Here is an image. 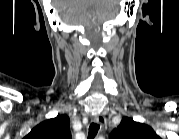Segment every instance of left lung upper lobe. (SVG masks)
Segmentation results:
<instances>
[{
    "instance_id": "5c2ea615",
    "label": "left lung upper lobe",
    "mask_w": 179,
    "mask_h": 139,
    "mask_svg": "<svg viewBox=\"0 0 179 139\" xmlns=\"http://www.w3.org/2000/svg\"><path fill=\"white\" fill-rule=\"evenodd\" d=\"M153 129L143 123L124 117L120 125L111 133L112 139H157Z\"/></svg>"
}]
</instances>
